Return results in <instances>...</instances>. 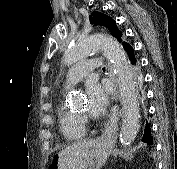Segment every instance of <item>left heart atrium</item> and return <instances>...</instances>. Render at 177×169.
Returning <instances> with one entry per match:
<instances>
[{
    "instance_id": "left-heart-atrium-1",
    "label": "left heart atrium",
    "mask_w": 177,
    "mask_h": 169,
    "mask_svg": "<svg viewBox=\"0 0 177 169\" xmlns=\"http://www.w3.org/2000/svg\"><path fill=\"white\" fill-rule=\"evenodd\" d=\"M85 92L88 98L87 109L92 117L104 113L109 105V89L106 85L95 80L86 83Z\"/></svg>"
}]
</instances>
